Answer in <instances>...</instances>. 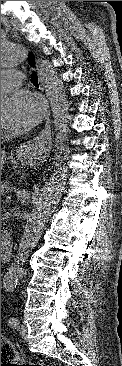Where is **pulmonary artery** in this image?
<instances>
[{"label":"pulmonary artery","mask_w":122,"mask_h":366,"mask_svg":"<svg viewBox=\"0 0 122 366\" xmlns=\"http://www.w3.org/2000/svg\"><path fill=\"white\" fill-rule=\"evenodd\" d=\"M23 74L15 70L1 71V93L18 89L22 85Z\"/></svg>","instance_id":"obj_1"}]
</instances>
